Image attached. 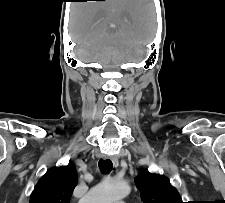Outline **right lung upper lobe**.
Returning <instances> with one entry per match:
<instances>
[{"label":"right lung upper lobe","instance_id":"right-lung-upper-lobe-1","mask_svg":"<svg viewBox=\"0 0 225 203\" xmlns=\"http://www.w3.org/2000/svg\"><path fill=\"white\" fill-rule=\"evenodd\" d=\"M78 177L72 164L46 172L35 186L29 203H70Z\"/></svg>","mask_w":225,"mask_h":203}]
</instances>
